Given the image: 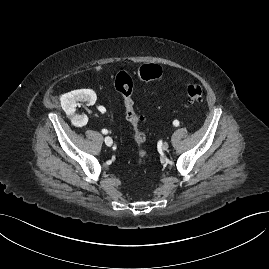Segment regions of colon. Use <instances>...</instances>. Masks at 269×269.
<instances>
[{"label":"colon","mask_w":269,"mask_h":269,"mask_svg":"<svg viewBox=\"0 0 269 269\" xmlns=\"http://www.w3.org/2000/svg\"><path fill=\"white\" fill-rule=\"evenodd\" d=\"M162 76V69L157 65H145L139 70V77L143 80H156ZM114 86L122 97L127 121L133 128L134 140L140 147L137 164L143 165L146 162L147 152L142 148L146 136L140 128L141 116L136 112L132 98L133 79L125 71L119 72L114 79ZM187 96L191 102H199L203 97V89L199 84H190L187 89Z\"/></svg>","instance_id":"5ec220e1"}]
</instances>
